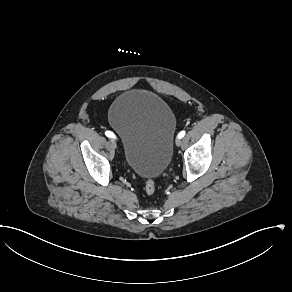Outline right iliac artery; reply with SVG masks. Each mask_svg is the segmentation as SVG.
I'll use <instances>...</instances> for the list:
<instances>
[{"label":"right iliac artery","instance_id":"right-iliac-artery-1","mask_svg":"<svg viewBox=\"0 0 292 292\" xmlns=\"http://www.w3.org/2000/svg\"><path fill=\"white\" fill-rule=\"evenodd\" d=\"M105 135H106L107 137H110V138H115L114 133L111 132V131H106V132H105Z\"/></svg>","mask_w":292,"mask_h":292}]
</instances>
